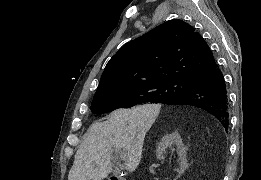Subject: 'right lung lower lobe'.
Segmentation results:
<instances>
[{"mask_svg":"<svg viewBox=\"0 0 261 180\" xmlns=\"http://www.w3.org/2000/svg\"><path fill=\"white\" fill-rule=\"evenodd\" d=\"M164 104H185L213 114L225 129L229 125V103L223 74L218 66L201 72L189 91Z\"/></svg>","mask_w":261,"mask_h":180,"instance_id":"right-lung-lower-lobe-1","label":"right lung lower lobe"}]
</instances>
